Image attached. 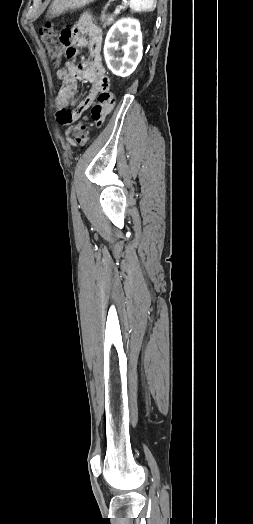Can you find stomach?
<instances>
[{"label": "stomach", "mask_w": 253, "mask_h": 524, "mask_svg": "<svg viewBox=\"0 0 253 524\" xmlns=\"http://www.w3.org/2000/svg\"><path fill=\"white\" fill-rule=\"evenodd\" d=\"M94 1L95 0H53L48 9V14L53 18L58 17L69 10L84 7Z\"/></svg>", "instance_id": "0dacf381"}]
</instances>
